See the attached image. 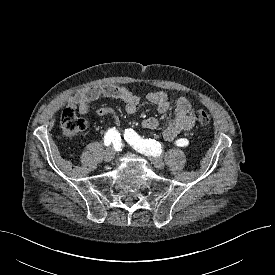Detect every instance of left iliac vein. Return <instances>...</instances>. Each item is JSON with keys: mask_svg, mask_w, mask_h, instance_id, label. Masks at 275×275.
I'll list each match as a JSON object with an SVG mask.
<instances>
[{"mask_svg": "<svg viewBox=\"0 0 275 275\" xmlns=\"http://www.w3.org/2000/svg\"><path fill=\"white\" fill-rule=\"evenodd\" d=\"M151 163L153 164L154 167H156L157 169H163L165 164L164 161L157 156H151L150 158Z\"/></svg>", "mask_w": 275, "mask_h": 275, "instance_id": "left-iliac-vein-1", "label": "left iliac vein"}]
</instances>
